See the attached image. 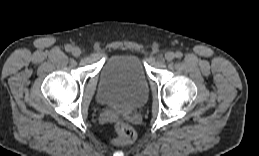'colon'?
Returning <instances> with one entry per match:
<instances>
[{
	"instance_id": "colon-1",
	"label": "colon",
	"mask_w": 259,
	"mask_h": 156,
	"mask_svg": "<svg viewBox=\"0 0 259 156\" xmlns=\"http://www.w3.org/2000/svg\"><path fill=\"white\" fill-rule=\"evenodd\" d=\"M116 138L114 143L117 145H128L134 142L136 138L135 130L127 123L118 122L116 124Z\"/></svg>"
}]
</instances>
